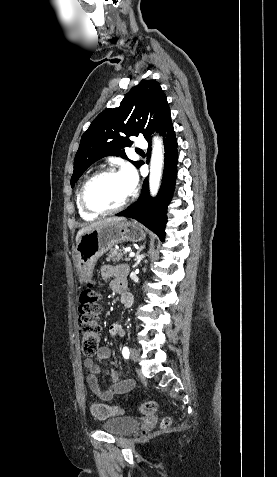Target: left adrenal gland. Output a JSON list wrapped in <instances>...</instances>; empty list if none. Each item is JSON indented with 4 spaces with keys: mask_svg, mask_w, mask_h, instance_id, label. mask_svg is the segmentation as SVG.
<instances>
[{
    "mask_svg": "<svg viewBox=\"0 0 277 477\" xmlns=\"http://www.w3.org/2000/svg\"><path fill=\"white\" fill-rule=\"evenodd\" d=\"M143 248H144V246H141L140 250H139V251L137 252V254H136L135 264L133 265L134 268L138 266V264L141 262V260H142L143 258H145V255H141V254H140V251H141Z\"/></svg>",
    "mask_w": 277,
    "mask_h": 477,
    "instance_id": "left-adrenal-gland-1",
    "label": "left adrenal gland"
}]
</instances>
